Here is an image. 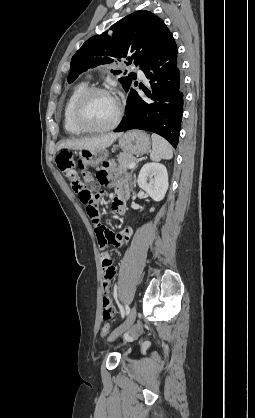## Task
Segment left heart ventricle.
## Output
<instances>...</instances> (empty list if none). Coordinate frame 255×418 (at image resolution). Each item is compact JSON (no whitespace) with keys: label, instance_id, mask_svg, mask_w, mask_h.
<instances>
[{"label":"left heart ventricle","instance_id":"obj_1","mask_svg":"<svg viewBox=\"0 0 255 418\" xmlns=\"http://www.w3.org/2000/svg\"><path fill=\"white\" fill-rule=\"evenodd\" d=\"M117 110V104L113 97L97 93L92 95L84 108L85 121L95 127H103L112 122Z\"/></svg>","mask_w":255,"mask_h":418}]
</instances>
